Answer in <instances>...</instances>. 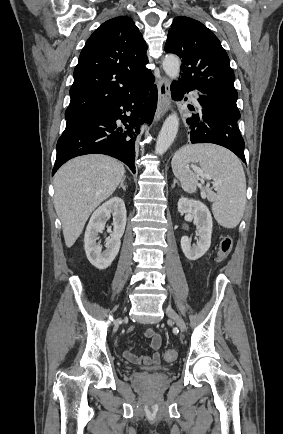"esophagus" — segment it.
Listing matches in <instances>:
<instances>
[{
	"label": "esophagus",
	"mask_w": 283,
	"mask_h": 434,
	"mask_svg": "<svg viewBox=\"0 0 283 434\" xmlns=\"http://www.w3.org/2000/svg\"><path fill=\"white\" fill-rule=\"evenodd\" d=\"M159 98L157 110L155 113L156 120H159L171 107V91L169 79L163 77L159 84Z\"/></svg>",
	"instance_id": "34e87169"
}]
</instances>
